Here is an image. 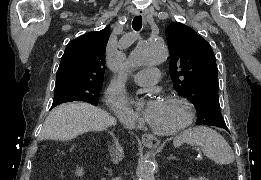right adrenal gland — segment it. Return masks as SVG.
<instances>
[{"instance_id":"right-adrenal-gland-1","label":"right adrenal gland","mask_w":261,"mask_h":180,"mask_svg":"<svg viewBox=\"0 0 261 180\" xmlns=\"http://www.w3.org/2000/svg\"><path fill=\"white\" fill-rule=\"evenodd\" d=\"M118 156H119V158H120V156H122V154H118Z\"/></svg>"}]
</instances>
